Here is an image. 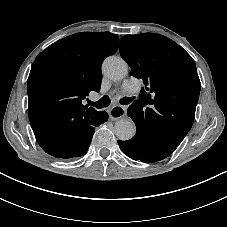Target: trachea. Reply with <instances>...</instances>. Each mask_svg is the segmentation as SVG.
Here are the masks:
<instances>
[{
	"label": "trachea",
	"mask_w": 227,
	"mask_h": 227,
	"mask_svg": "<svg viewBox=\"0 0 227 227\" xmlns=\"http://www.w3.org/2000/svg\"><path fill=\"white\" fill-rule=\"evenodd\" d=\"M135 99V97H123L119 100L121 105H128L130 104L133 100ZM111 103V100L109 98V96L104 95L100 100L93 102V101H88L89 105H92L94 107H96L97 109H102L104 107H108Z\"/></svg>",
	"instance_id": "3493384b"
}]
</instances>
